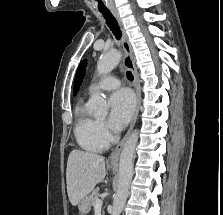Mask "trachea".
Listing matches in <instances>:
<instances>
[{"label": "trachea", "mask_w": 223, "mask_h": 215, "mask_svg": "<svg viewBox=\"0 0 223 215\" xmlns=\"http://www.w3.org/2000/svg\"><path fill=\"white\" fill-rule=\"evenodd\" d=\"M102 15L104 16L106 23L108 25V27L110 28V30L112 31V33L115 35L117 40H120L122 37V32L121 29L118 25V22L116 21V19L113 17V15L111 14V12L107 9L105 10H99ZM126 77L128 78V80H133V75L130 71H127L126 73Z\"/></svg>", "instance_id": "trachea-1"}]
</instances>
